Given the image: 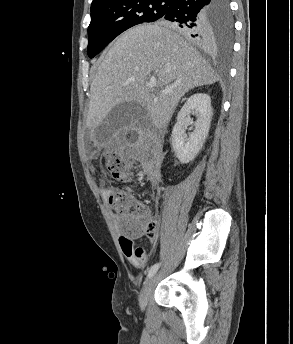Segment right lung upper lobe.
Returning a JSON list of instances; mask_svg holds the SVG:
<instances>
[{"label": "right lung upper lobe", "mask_w": 293, "mask_h": 344, "mask_svg": "<svg viewBox=\"0 0 293 344\" xmlns=\"http://www.w3.org/2000/svg\"><path fill=\"white\" fill-rule=\"evenodd\" d=\"M117 0H93L91 4V9L95 8L98 5L104 4V3H109V2H114ZM215 45V42L213 43V46Z\"/></svg>", "instance_id": "1"}]
</instances>
